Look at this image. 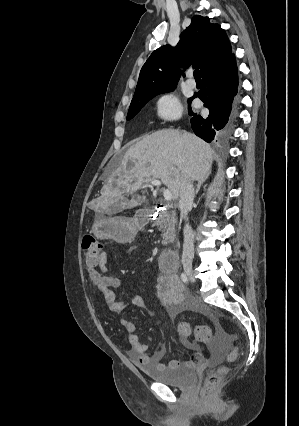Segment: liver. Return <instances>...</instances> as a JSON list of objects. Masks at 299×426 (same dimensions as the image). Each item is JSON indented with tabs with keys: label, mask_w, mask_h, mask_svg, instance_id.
Returning <instances> with one entry per match:
<instances>
[{
	"label": "liver",
	"mask_w": 299,
	"mask_h": 426,
	"mask_svg": "<svg viewBox=\"0 0 299 426\" xmlns=\"http://www.w3.org/2000/svg\"><path fill=\"white\" fill-rule=\"evenodd\" d=\"M213 155L211 146L192 133L174 129L152 133L127 149L101 191L100 207L115 211L134 208L146 200L148 183L157 179L177 199L183 180L208 177ZM140 189L144 190L142 196L124 197Z\"/></svg>",
	"instance_id": "liver-1"
}]
</instances>
